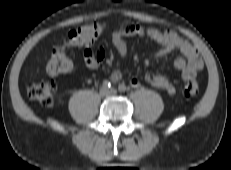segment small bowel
<instances>
[{
  "label": "small bowel",
  "instance_id": "obj_1",
  "mask_svg": "<svg viewBox=\"0 0 231 170\" xmlns=\"http://www.w3.org/2000/svg\"><path fill=\"white\" fill-rule=\"evenodd\" d=\"M149 38L157 42L161 48L154 53V56H163L174 50L179 51L182 57L174 62L175 69L181 73L184 80H192L197 73L203 68V61L197 48L188 40L181 37L174 31H160L156 28L144 27L139 24L123 23L120 28L112 33V43L118 53L119 58L125 61L128 56V48L125 39L127 37ZM104 51L102 49L91 50L89 48L84 51V60L88 67L96 68L104 59ZM122 75L119 69H114L111 73V80L117 82ZM146 81L153 87L163 90L172 95L176 92L175 86L160 73H147ZM130 84L133 87L139 86V80L132 78Z\"/></svg>",
  "mask_w": 231,
  "mask_h": 170
}]
</instances>
